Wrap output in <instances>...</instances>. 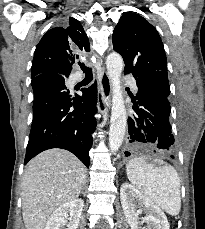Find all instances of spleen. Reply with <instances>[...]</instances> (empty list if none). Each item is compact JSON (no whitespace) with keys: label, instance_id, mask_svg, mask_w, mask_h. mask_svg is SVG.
Here are the masks:
<instances>
[{"label":"spleen","instance_id":"3e777b00","mask_svg":"<svg viewBox=\"0 0 205 229\" xmlns=\"http://www.w3.org/2000/svg\"><path fill=\"white\" fill-rule=\"evenodd\" d=\"M126 173L129 181L152 202L172 216L179 214L181 184L174 167H157L143 158H134L127 163Z\"/></svg>","mask_w":205,"mask_h":229}]
</instances>
